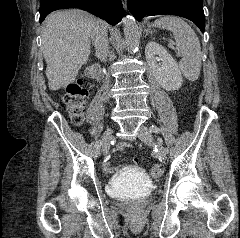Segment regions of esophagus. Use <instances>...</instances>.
<instances>
[{
	"label": "esophagus",
	"mask_w": 240,
	"mask_h": 238,
	"mask_svg": "<svg viewBox=\"0 0 240 238\" xmlns=\"http://www.w3.org/2000/svg\"><path fill=\"white\" fill-rule=\"evenodd\" d=\"M122 4L124 9H127V0H122Z\"/></svg>",
	"instance_id": "1"
}]
</instances>
